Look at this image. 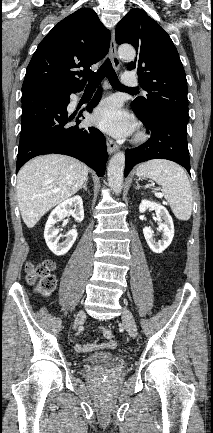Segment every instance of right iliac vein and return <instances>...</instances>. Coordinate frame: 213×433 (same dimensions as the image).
<instances>
[{
  "mask_svg": "<svg viewBox=\"0 0 213 433\" xmlns=\"http://www.w3.org/2000/svg\"><path fill=\"white\" fill-rule=\"evenodd\" d=\"M85 317V312L83 310L79 311L74 322V328H77V326L85 319Z\"/></svg>",
  "mask_w": 213,
  "mask_h": 433,
  "instance_id": "right-iliac-vein-1",
  "label": "right iliac vein"
}]
</instances>
